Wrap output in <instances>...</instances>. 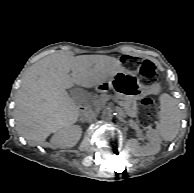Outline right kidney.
Instances as JSON below:
<instances>
[{"label": "right kidney", "instance_id": "1", "mask_svg": "<svg viewBox=\"0 0 194 193\" xmlns=\"http://www.w3.org/2000/svg\"><path fill=\"white\" fill-rule=\"evenodd\" d=\"M82 129L78 125H67L54 133L50 140L52 148H71L81 137Z\"/></svg>", "mask_w": 194, "mask_h": 193}]
</instances>
